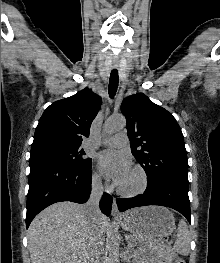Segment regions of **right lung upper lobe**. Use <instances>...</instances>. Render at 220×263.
I'll return each mask as SVG.
<instances>
[{"instance_id": "cb5924a9", "label": "right lung upper lobe", "mask_w": 220, "mask_h": 263, "mask_svg": "<svg viewBox=\"0 0 220 263\" xmlns=\"http://www.w3.org/2000/svg\"><path fill=\"white\" fill-rule=\"evenodd\" d=\"M100 105L101 98L88 88L52 103L36 127L31 154L80 147L83 137L89 136Z\"/></svg>"}]
</instances>
